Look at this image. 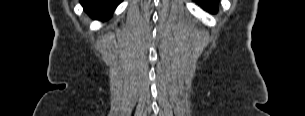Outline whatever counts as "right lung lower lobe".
<instances>
[{
    "instance_id": "98d812e1",
    "label": "right lung lower lobe",
    "mask_w": 305,
    "mask_h": 116,
    "mask_svg": "<svg viewBox=\"0 0 305 116\" xmlns=\"http://www.w3.org/2000/svg\"><path fill=\"white\" fill-rule=\"evenodd\" d=\"M80 2L89 16L106 20L122 0H81Z\"/></svg>"
}]
</instances>
